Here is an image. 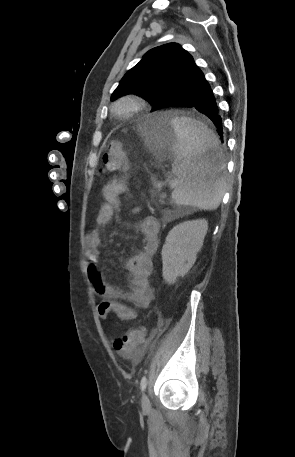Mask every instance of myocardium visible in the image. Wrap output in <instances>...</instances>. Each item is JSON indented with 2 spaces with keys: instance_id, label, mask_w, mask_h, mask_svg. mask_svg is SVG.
Masks as SVG:
<instances>
[{
  "instance_id": "f54148a6",
  "label": "myocardium",
  "mask_w": 295,
  "mask_h": 457,
  "mask_svg": "<svg viewBox=\"0 0 295 457\" xmlns=\"http://www.w3.org/2000/svg\"><path fill=\"white\" fill-rule=\"evenodd\" d=\"M145 100L136 94H127L113 104V111L117 116L129 118L139 113L145 107Z\"/></svg>"
}]
</instances>
